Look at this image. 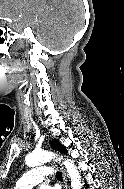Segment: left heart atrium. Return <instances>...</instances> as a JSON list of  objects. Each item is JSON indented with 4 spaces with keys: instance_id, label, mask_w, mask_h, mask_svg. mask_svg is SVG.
I'll use <instances>...</instances> for the list:
<instances>
[{
    "instance_id": "1",
    "label": "left heart atrium",
    "mask_w": 124,
    "mask_h": 189,
    "mask_svg": "<svg viewBox=\"0 0 124 189\" xmlns=\"http://www.w3.org/2000/svg\"><path fill=\"white\" fill-rule=\"evenodd\" d=\"M41 189H55L54 187H50V186H44Z\"/></svg>"
}]
</instances>
